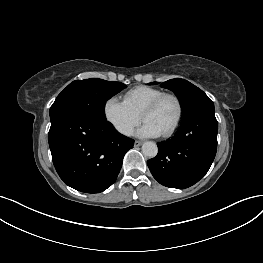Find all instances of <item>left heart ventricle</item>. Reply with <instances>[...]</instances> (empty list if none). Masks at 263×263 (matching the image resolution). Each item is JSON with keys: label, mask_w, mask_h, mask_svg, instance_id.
<instances>
[{"label": "left heart ventricle", "mask_w": 263, "mask_h": 263, "mask_svg": "<svg viewBox=\"0 0 263 263\" xmlns=\"http://www.w3.org/2000/svg\"><path fill=\"white\" fill-rule=\"evenodd\" d=\"M178 108L174 99H165L155 110L144 115V121L152 123L162 133L174 123Z\"/></svg>", "instance_id": "1"}]
</instances>
